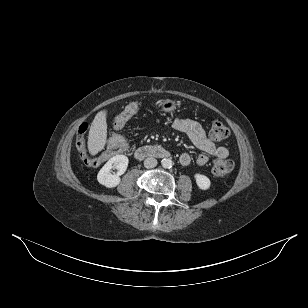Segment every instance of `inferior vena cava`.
Wrapping results in <instances>:
<instances>
[{
	"instance_id": "obj_1",
	"label": "inferior vena cava",
	"mask_w": 308,
	"mask_h": 308,
	"mask_svg": "<svg viewBox=\"0 0 308 308\" xmlns=\"http://www.w3.org/2000/svg\"><path fill=\"white\" fill-rule=\"evenodd\" d=\"M144 166L148 169L154 168L157 166V160L153 157H148L144 160Z\"/></svg>"
}]
</instances>
